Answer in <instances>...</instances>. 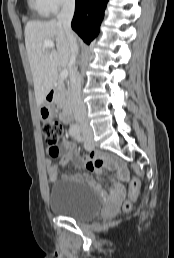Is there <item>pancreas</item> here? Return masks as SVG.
I'll return each instance as SVG.
<instances>
[{
  "mask_svg": "<svg viewBox=\"0 0 174 258\" xmlns=\"http://www.w3.org/2000/svg\"><path fill=\"white\" fill-rule=\"evenodd\" d=\"M54 101L61 109H67L69 106V89L61 78L57 81Z\"/></svg>",
  "mask_w": 174,
  "mask_h": 258,
  "instance_id": "obj_1",
  "label": "pancreas"
}]
</instances>
